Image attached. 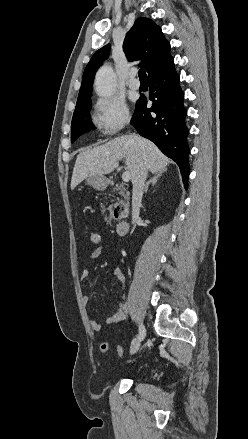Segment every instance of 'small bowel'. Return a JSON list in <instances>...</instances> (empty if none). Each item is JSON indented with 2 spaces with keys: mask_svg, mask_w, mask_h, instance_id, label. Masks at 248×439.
<instances>
[{
  "mask_svg": "<svg viewBox=\"0 0 248 439\" xmlns=\"http://www.w3.org/2000/svg\"><path fill=\"white\" fill-rule=\"evenodd\" d=\"M103 247L99 246L97 248H95L90 255L91 259H96L98 257H100L103 254ZM89 275V268L85 267L82 271L81 274V278L85 279L87 278ZM113 276L114 278L119 281L120 283H124V275L123 272L121 271V269L116 268L113 270ZM83 300L85 303H88L89 301V297L88 296H84ZM122 307V305H121ZM125 319V313L123 312L122 308H119L117 311H115L111 316H109L106 320L105 323L106 324H115V323H119L121 321H123ZM90 327L92 328V330L94 331H100L102 328V325L95 321V320H90Z\"/></svg>",
  "mask_w": 248,
  "mask_h": 439,
  "instance_id": "c3829d8e",
  "label": "small bowel"
}]
</instances>
